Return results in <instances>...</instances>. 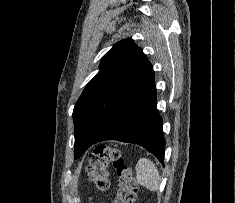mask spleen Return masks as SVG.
<instances>
[{"label": "spleen", "instance_id": "obj_1", "mask_svg": "<svg viewBox=\"0 0 235 203\" xmlns=\"http://www.w3.org/2000/svg\"><path fill=\"white\" fill-rule=\"evenodd\" d=\"M136 179L138 183L150 191H157L160 185V175L155 164L147 159L141 158L136 164Z\"/></svg>", "mask_w": 235, "mask_h": 203}]
</instances>
